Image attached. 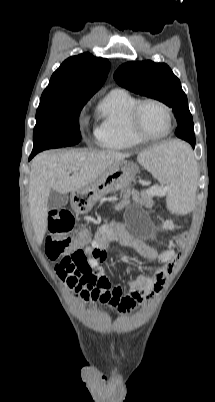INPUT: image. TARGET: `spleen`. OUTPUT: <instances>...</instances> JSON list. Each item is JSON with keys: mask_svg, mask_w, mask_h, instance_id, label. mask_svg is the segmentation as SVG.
I'll use <instances>...</instances> for the list:
<instances>
[{"mask_svg": "<svg viewBox=\"0 0 215 402\" xmlns=\"http://www.w3.org/2000/svg\"><path fill=\"white\" fill-rule=\"evenodd\" d=\"M138 161L160 182L170 186L168 208L189 214L198 191L200 170L194 168L189 144L182 141L165 142L147 153L140 154Z\"/></svg>", "mask_w": 215, "mask_h": 402, "instance_id": "spleen-1", "label": "spleen"}]
</instances>
